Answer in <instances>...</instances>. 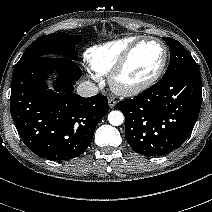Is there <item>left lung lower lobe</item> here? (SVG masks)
<instances>
[{
    "instance_id": "0a47b994",
    "label": "left lung lower lobe",
    "mask_w": 212,
    "mask_h": 212,
    "mask_svg": "<svg viewBox=\"0 0 212 212\" xmlns=\"http://www.w3.org/2000/svg\"><path fill=\"white\" fill-rule=\"evenodd\" d=\"M201 101V74L198 68H190L119 102L129 145L145 156H163L177 149L192 130Z\"/></svg>"
}]
</instances>
